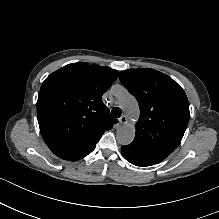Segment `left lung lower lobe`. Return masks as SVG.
Here are the masks:
<instances>
[{"mask_svg": "<svg viewBox=\"0 0 219 219\" xmlns=\"http://www.w3.org/2000/svg\"><path fill=\"white\" fill-rule=\"evenodd\" d=\"M121 152L123 156L133 165L145 167V166H152L156 164L147 159H144L143 157L139 156L131 149L127 148L126 146L121 147Z\"/></svg>", "mask_w": 219, "mask_h": 219, "instance_id": "0a47b994", "label": "left lung lower lobe"}]
</instances>
